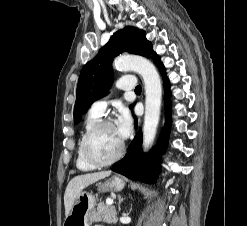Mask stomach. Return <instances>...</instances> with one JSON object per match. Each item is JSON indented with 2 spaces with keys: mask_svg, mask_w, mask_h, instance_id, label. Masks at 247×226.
<instances>
[{
  "mask_svg": "<svg viewBox=\"0 0 247 226\" xmlns=\"http://www.w3.org/2000/svg\"><path fill=\"white\" fill-rule=\"evenodd\" d=\"M124 181L113 176L103 183L98 184V190L105 192L120 191L124 188ZM96 205L95 196L87 191H81L73 203L69 215L66 217L63 226H89L90 216Z\"/></svg>",
  "mask_w": 247,
  "mask_h": 226,
  "instance_id": "obj_1",
  "label": "stomach"
}]
</instances>
